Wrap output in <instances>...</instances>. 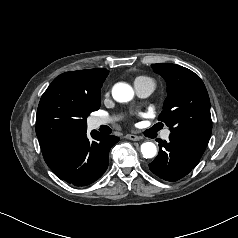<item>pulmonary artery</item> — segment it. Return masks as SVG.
Wrapping results in <instances>:
<instances>
[{"instance_id": "e3ab8cb5", "label": "pulmonary artery", "mask_w": 238, "mask_h": 238, "mask_svg": "<svg viewBox=\"0 0 238 238\" xmlns=\"http://www.w3.org/2000/svg\"><path fill=\"white\" fill-rule=\"evenodd\" d=\"M135 86V90L136 93L140 96V97H147L149 96L155 89V84L154 82H143V83H137L134 85ZM111 122V119L109 118H96L95 119V125L96 126H101V125H106L108 123ZM170 135V131L166 130L164 131L162 137L164 139H167Z\"/></svg>"}]
</instances>
